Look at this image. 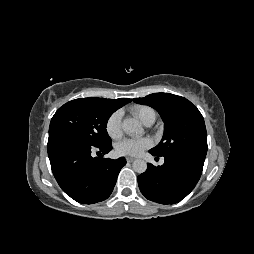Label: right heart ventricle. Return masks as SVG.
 I'll list each match as a JSON object with an SVG mask.
<instances>
[{
	"label": "right heart ventricle",
	"mask_w": 254,
	"mask_h": 254,
	"mask_svg": "<svg viewBox=\"0 0 254 254\" xmlns=\"http://www.w3.org/2000/svg\"><path fill=\"white\" fill-rule=\"evenodd\" d=\"M131 110L145 125L153 124L157 118L156 111L146 105H136Z\"/></svg>",
	"instance_id": "e07e8e85"
}]
</instances>
